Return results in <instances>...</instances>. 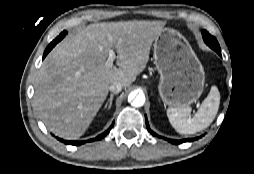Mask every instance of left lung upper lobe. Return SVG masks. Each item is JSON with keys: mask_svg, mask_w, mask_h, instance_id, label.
Wrapping results in <instances>:
<instances>
[{"mask_svg": "<svg viewBox=\"0 0 254 174\" xmlns=\"http://www.w3.org/2000/svg\"><path fill=\"white\" fill-rule=\"evenodd\" d=\"M202 35H203V39L205 41V43L212 48L213 50H215L216 52L221 51L220 50V46L216 40L215 37L211 36L206 30L202 31Z\"/></svg>", "mask_w": 254, "mask_h": 174, "instance_id": "5c2ea615", "label": "left lung upper lobe"}]
</instances>
